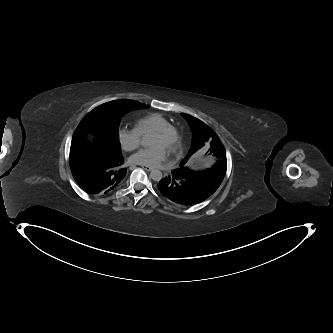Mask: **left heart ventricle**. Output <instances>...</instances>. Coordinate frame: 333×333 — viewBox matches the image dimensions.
<instances>
[{"instance_id": "obj_1", "label": "left heart ventricle", "mask_w": 333, "mask_h": 333, "mask_svg": "<svg viewBox=\"0 0 333 333\" xmlns=\"http://www.w3.org/2000/svg\"><path fill=\"white\" fill-rule=\"evenodd\" d=\"M148 144L152 147H159V148L164 149L165 151L167 150V141H166L165 137H163L159 134H156V133H154L150 137Z\"/></svg>"}]
</instances>
